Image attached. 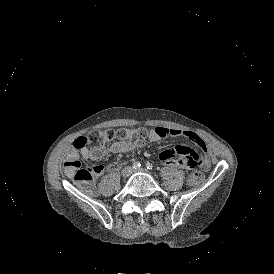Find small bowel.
<instances>
[{"instance_id": "obj_1", "label": "small bowel", "mask_w": 274, "mask_h": 274, "mask_svg": "<svg viewBox=\"0 0 274 274\" xmlns=\"http://www.w3.org/2000/svg\"><path fill=\"white\" fill-rule=\"evenodd\" d=\"M180 136L185 137L195 145H197L204 153V156L199 160L198 152L189 147H174L169 146L165 150L157 152V157L162 159L168 167L180 168L189 166L193 170H198L202 166L207 169L210 167V157L205 141L195 132L189 130L169 129L166 127H155L148 133V139L152 142L160 141L167 137ZM134 145L128 141L118 140L110 146L95 145L85 146L79 150L81 156L86 160L97 161L103 158L107 153H124L132 150ZM102 172V169H101Z\"/></svg>"}]
</instances>
